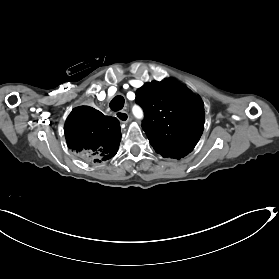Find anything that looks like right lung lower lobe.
Here are the masks:
<instances>
[{"label": "right lung lower lobe", "mask_w": 279, "mask_h": 279, "mask_svg": "<svg viewBox=\"0 0 279 279\" xmlns=\"http://www.w3.org/2000/svg\"><path fill=\"white\" fill-rule=\"evenodd\" d=\"M64 132L68 148L89 164L113 157L121 140L119 121L89 106L72 110Z\"/></svg>", "instance_id": "obj_1"}]
</instances>
